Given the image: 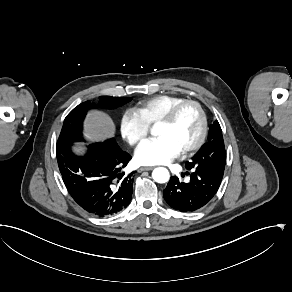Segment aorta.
<instances>
[{
  "instance_id": "aorta-1",
  "label": "aorta",
  "mask_w": 292,
  "mask_h": 292,
  "mask_svg": "<svg viewBox=\"0 0 292 292\" xmlns=\"http://www.w3.org/2000/svg\"><path fill=\"white\" fill-rule=\"evenodd\" d=\"M153 133H154V126H152L150 129V134H153ZM152 178L155 182L162 184V183H166L169 180L170 175L166 168L159 167L153 170Z\"/></svg>"
}]
</instances>
